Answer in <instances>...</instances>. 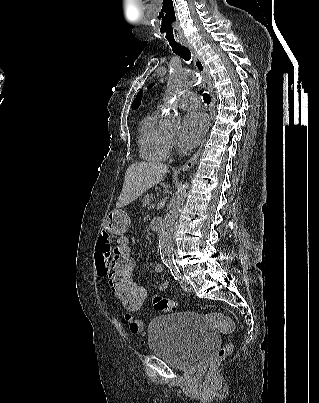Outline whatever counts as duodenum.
<instances>
[{"mask_svg":"<svg viewBox=\"0 0 319 403\" xmlns=\"http://www.w3.org/2000/svg\"><path fill=\"white\" fill-rule=\"evenodd\" d=\"M161 227H162V221L160 219L155 218L152 220L151 228L153 231H156V232L160 231Z\"/></svg>","mask_w":319,"mask_h":403,"instance_id":"410a0bca","label":"duodenum"}]
</instances>
